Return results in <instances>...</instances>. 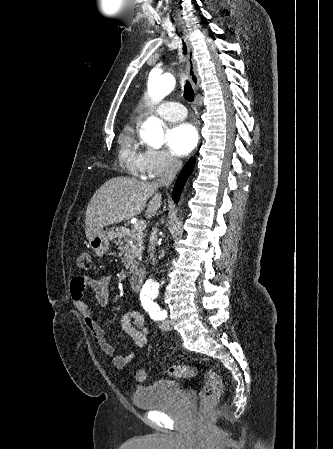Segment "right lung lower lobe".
<instances>
[{
    "mask_svg": "<svg viewBox=\"0 0 333 449\" xmlns=\"http://www.w3.org/2000/svg\"><path fill=\"white\" fill-rule=\"evenodd\" d=\"M194 164H195V158H191L186 165L184 166L182 172L180 173V175L177 178L174 190H173V194H172V198L177 202L179 200V196L181 194L182 188L187 180V178L189 177V175L192 173L193 168H194Z\"/></svg>",
    "mask_w": 333,
    "mask_h": 449,
    "instance_id": "98d812e1",
    "label": "right lung lower lobe"
}]
</instances>
